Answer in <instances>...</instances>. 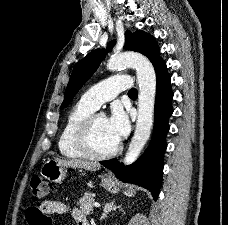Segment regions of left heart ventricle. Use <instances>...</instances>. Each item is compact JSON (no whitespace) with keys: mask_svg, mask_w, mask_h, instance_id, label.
Returning <instances> with one entry per match:
<instances>
[{"mask_svg":"<svg viewBox=\"0 0 228 225\" xmlns=\"http://www.w3.org/2000/svg\"><path fill=\"white\" fill-rule=\"evenodd\" d=\"M92 135L96 147L103 151L115 147L118 143L109 135L107 130V119L101 115H97L94 120Z\"/></svg>","mask_w":228,"mask_h":225,"instance_id":"obj_1","label":"left heart ventricle"}]
</instances>
